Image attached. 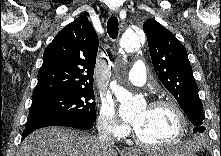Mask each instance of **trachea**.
<instances>
[{
	"label": "trachea",
	"mask_w": 221,
	"mask_h": 156,
	"mask_svg": "<svg viewBox=\"0 0 221 156\" xmlns=\"http://www.w3.org/2000/svg\"><path fill=\"white\" fill-rule=\"evenodd\" d=\"M119 23L117 17L109 18L107 22V32L112 39H116L118 36Z\"/></svg>",
	"instance_id": "obj_1"
}]
</instances>
